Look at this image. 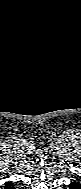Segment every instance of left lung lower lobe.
Masks as SVG:
<instances>
[{"label": "left lung lower lobe", "instance_id": "obj_1", "mask_svg": "<svg viewBox=\"0 0 81 189\" xmlns=\"http://www.w3.org/2000/svg\"><path fill=\"white\" fill-rule=\"evenodd\" d=\"M81 184L78 181L72 180V182L68 185L69 189H80Z\"/></svg>", "mask_w": 81, "mask_h": 189}]
</instances>
